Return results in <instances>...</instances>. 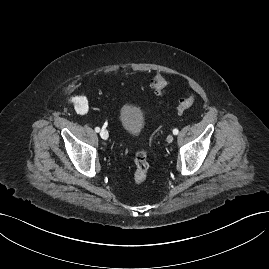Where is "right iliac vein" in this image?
I'll return each instance as SVG.
<instances>
[{
	"instance_id": "63e3f726",
	"label": "right iliac vein",
	"mask_w": 269,
	"mask_h": 269,
	"mask_svg": "<svg viewBox=\"0 0 269 269\" xmlns=\"http://www.w3.org/2000/svg\"><path fill=\"white\" fill-rule=\"evenodd\" d=\"M100 136L102 139L106 140L109 137L108 131L106 129H102L100 131Z\"/></svg>"
}]
</instances>
